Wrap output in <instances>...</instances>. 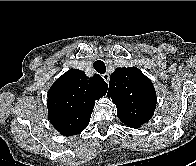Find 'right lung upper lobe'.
I'll return each instance as SVG.
<instances>
[{
    "instance_id": "cb5924a9",
    "label": "right lung upper lobe",
    "mask_w": 196,
    "mask_h": 166,
    "mask_svg": "<svg viewBox=\"0 0 196 166\" xmlns=\"http://www.w3.org/2000/svg\"><path fill=\"white\" fill-rule=\"evenodd\" d=\"M107 89L98 74L88 78L83 71H67L48 91V119L64 136L79 134L89 124L95 100L103 97Z\"/></svg>"
}]
</instances>
